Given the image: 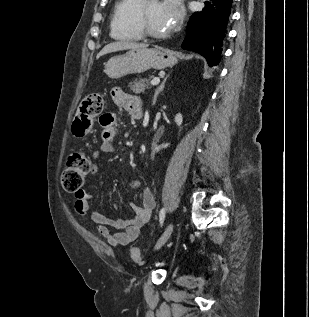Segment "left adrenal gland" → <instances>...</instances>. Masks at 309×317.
Instances as JSON below:
<instances>
[{
	"label": "left adrenal gland",
	"mask_w": 309,
	"mask_h": 317,
	"mask_svg": "<svg viewBox=\"0 0 309 317\" xmlns=\"http://www.w3.org/2000/svg\"><path fill=\"white\" fill-rule=\"evenodd\" d=\"M168 77H169V74L166 75V77L162 81L161 85L155 90L154 97H153V103H156V99H157L159 93L163 91V89L165 87L166 80Z\"/></svg>",
	"instance_id": "a2214340"
}]
</instances>
